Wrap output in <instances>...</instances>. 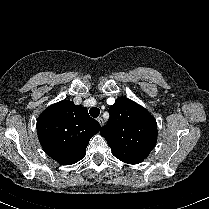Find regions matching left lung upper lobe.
<instances>
[{
	"label": "left lung upper lobe",
	"instance_id": "5c2ea615",
	"mask_svg": "<svg viewBox=\"0 0 209 209\" xmlns=\"http://www.w3.org/2000/svg\"><path fill=\"white\" fill-rule=\"evenodd\" d=\"M108 123L100 134L106 139L113 155L124 163H141L156 144L157 123L142 106L119 97L109 108Z\"/></svg>",
	"mask_w": 209,
	"mask_h": 209
}]
</instances>
